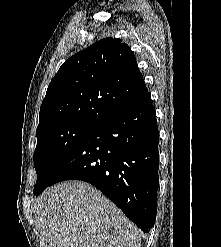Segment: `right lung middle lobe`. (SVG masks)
Masks as SVG:
<instances>
[{"label": "right lung middle lobe", "mask_w": 221, "mask_h": 247, "mask_svg": "<svg viewBox=\"0 0 221 247\" xmlns=\"http://www.w3.org/2000/svg\"><path fill=\"white\" fill-rule=\"evenodd\" d=\"M96 125L72 122L36 133L34 167L37 182L33 191L34 195L41 194L49 186L65 160L94 130Z\"/></svg>", "instance_id": "1"}]
</instances>
